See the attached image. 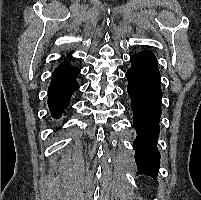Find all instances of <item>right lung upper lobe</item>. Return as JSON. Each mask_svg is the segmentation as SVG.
Masks as SVG:
<instances>
[{
  "label": "right lung upper lobe",
  "instance_id": "right-lung-upper-lobe-1",
  "mask_svg": "<svg viewBox=\"0 0 201 200\" xmlns=\"http://www.w3.org/2000/svg\"><path fill=\"white\" fill-rule=\"evenodd\" d=\"M72 68V66L68 65L67 62L61 63L54 71V73L65 71Z\"/></svg>",
  "mask_w": 201,
  "mask_h": 200
}]
</instances>
